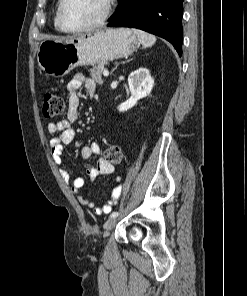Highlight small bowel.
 <instances>
[{"mask_svg": "<svg viewBox=\"0 0 247 296\" xmlns=\"http://www.w3.org/2000/svg\"><path fill=\"white\" fill-rule=\"evenodd\" d=\"M84 86L87 93L92 95L96 90V83L84 75L75 74L72 79L67 83V91L69 93L67 118L58 122H52L48 125V131L51 134H57L51 138L49 142V149L54 163L57 165L61 177L65 182L69 183L72 193L77 195L81 204L93 210L94 214L102 215L111 211L112 205L116 203L121 193V186L119 181H116L112 190L111 200L104 205H95L93 201L84 197L81 194V189L85 183V179L77 177L71 180L70 172L65 168L62 158L64 146L70 144L75 138V131L72 124L79 119V106L80 97L78 90ZM93 156L98 157L95 166L88 169V178L91 182L95 181L100 175H109L113 172V166L108 163L104 158L100 157V146L92 143L82 147V159H89Z\"/></svg>", "mask_w": 247, "mask_h": 296, "instance_id": "1", "label": "small bowel"}]
</instances>
